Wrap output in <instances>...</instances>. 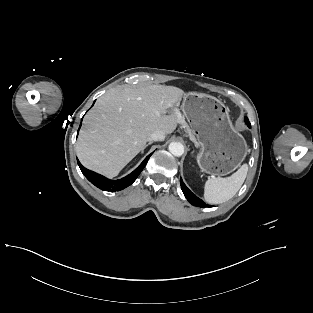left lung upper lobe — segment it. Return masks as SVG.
Wrapping results in <instances>:
<instances>
[{"label":"left lung upper lobe","mask_w":313,"mask_h":313,"mask_svg":"<svg viewBox=\"0 0 313 313\" xmlns=\"http://www.w3.org/2000/svg\"><path fill=\"white\" fill-rule=\"evenodd\" d=\"M245 123L248 125V127H250V123L247 117H245Z\"/></svg>","instance_id":"obj_1"}]
</instances>
